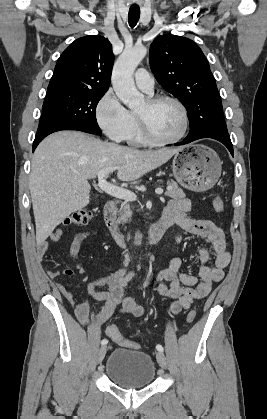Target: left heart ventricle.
<instances>
[{
	"label": "left heart ventricle",
	"mask_w": 267,
	"mask_h": 419,
	"mask_svg": "<svg viewBox=\"0 0 267 419\" xmlns=\"http://www.w3.org/2000/svg\"><path fill=\"white\" fill-rule=\"evenodd\" d=\"M137 113L146 118L151 131L162 139L174 138L183 126L180 109L169 101L160 102L152 107L145 101Z\"/></svg>",
	"instance_id": "obj_1"
}]
</instances>
